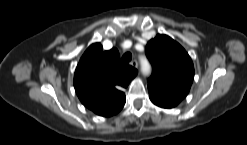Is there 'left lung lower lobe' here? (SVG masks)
<instances>
[{"label":"left lung lower lobe","mask_w":247,"mask_h":145,"mask_svg":"<svg viewBox=\"0 0 247 145\" xmlns=\"http://www.w3.org/2000/svg\"><path fill=\"white\" fill-rule=\"evenodd\" d=\"M148 91H149V97L151 101L155 105L161 108H167V109L173 108L177 106L182 100L176 96H173V95H170V94H167V93H164V92L152 89V88H148Z\"/></svg>","instance_id":"obj_1"}]
</instances>
